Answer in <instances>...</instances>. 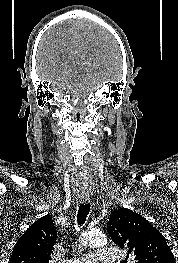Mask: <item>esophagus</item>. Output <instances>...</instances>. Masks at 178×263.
I'll return each instance as SVG.
<instances>
[{"label": "esophagus", "instance_id": "1", "mask_svg": "<svg viewBox=\"0 0 178 263\" xmlns=\"http://www.w3.org/2000/svg\"><path fill=\"white\" fill-rule=\"evenodd\" d=\"M89 201V197L88 196H81V202L82 203H87Z\"/></svg>", "mask_w": 178, "mask_h": 263}]
</instances>
